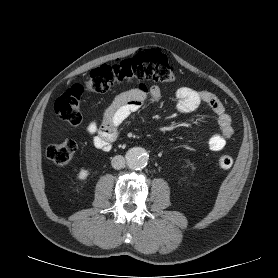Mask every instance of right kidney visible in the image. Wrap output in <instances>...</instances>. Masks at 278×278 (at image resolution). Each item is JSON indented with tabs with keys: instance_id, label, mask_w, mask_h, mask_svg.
<instances>
[{
	"instance_id": "ca27d5eb",
	"label": "right kidney",
	"mask_w": 278,
	"mask_h": 278,
	"mask_svg": "<svg viewBox=\"0 0 278 278\" xmlns=\"http://www.w3.org/2000/svg\"><path fill=\"white\" fill-rule=\"evenodd\" d=\"M89 175V171L86 169H81L78 173V179L79 180H85Z\"/></svg>"
}]
</instances>
